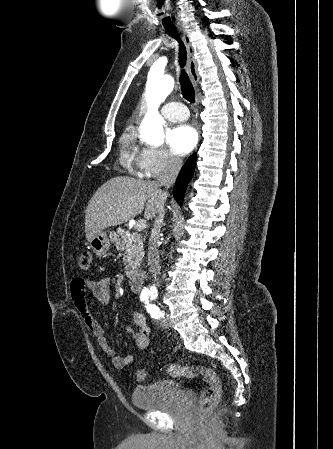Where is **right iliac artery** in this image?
I'll return each instance as SVG.
<instances>
[{
	"instance_id": "right-iliac-artery-1",
	"label": "right iliac artery",
	"mask_w": 333,
	"mask_h": 449,
	"mask_svg": "<svg viewBox=\"0 0 333 449\" xmlns=\"http://www.w3.org/2000/svg\"><path fill=\"white\" fill-rule=\"evenodd\" d=\"M141 300L144 301V300H147V298H142Z\"/></svg>"
}]
</instances>
